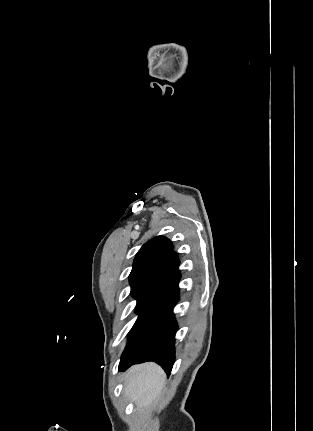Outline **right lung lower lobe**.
<instances>
[{"mask_svg":"<svg viewBox=\"0 0 313 431\" xmlns=\"http://www.w3.org/2000/svg\"><path fill=\"white\" fill-rule=\"evenodd\" d=\"M177 271L148 299L130 331L129 341L121 356L120 370L133 364L153 361L170 375L175 361L177 324L173 308L179 300Z\"/></svg>","mask_w":313,"mask_h":431,"instance_id":"98d812e1","label":"right lung lower lobe"}]
</instances>
